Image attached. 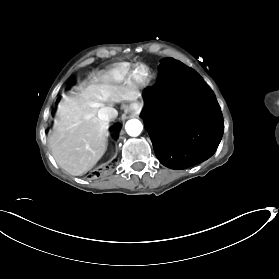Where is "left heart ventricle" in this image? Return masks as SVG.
<instances>
[{"instance_id": "left-heart-ventricle-1", "label": "left heart ventricle", "mask_w": 279, "mask_h": 279, "mask_svg": "<svg viewBox=\"0 0 279 279\" xmlns=\"http://www.w3.org/2000/svg\"><path fill=\"white\" fill-rule=\"evenodd\" d=\"M144 71H145V70H144L143 68L139 69V73H140V74H143Z\"/></svg>"}]
</instances>
